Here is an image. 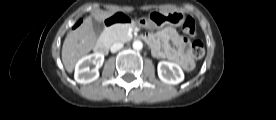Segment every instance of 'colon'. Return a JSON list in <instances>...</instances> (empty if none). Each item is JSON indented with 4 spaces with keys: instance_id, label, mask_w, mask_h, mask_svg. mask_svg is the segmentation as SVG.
<instances>
[{
    "instance_id": "colon-1",
    "label": "colon",
    "mask_w": 276,
    "mask_h": 120,
    "mask_svg": "<svg viewBox=\"0 0 276 120\" xmlns=\"http://www.w3.org/2000/svg\"><path fill=\"white\" fill-rule=\"evenodd\" d=\"M125 14L121 11H114L112 13H108L105 15L104 19L106 18H110L112 16H115L116 14ZM126 15H130V14H126ZM132 16V15H130ZM87 24V18L85 16H80L78 18V20H76L75 22H70L68 24V29L70 31H75L76 29H81L83 26H85ZM126 27V26H125ZM183 32L184 34L190 38L193 39L196 36V27H195V22L192 18H185L183 21ZM190 53L192 55L193 58L199 60L202 59L203 56L205 55V47L202 41L200 40H194L191 44L190 47Z\"/></svg>"
}]
</instances>
